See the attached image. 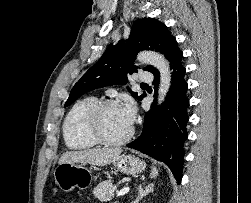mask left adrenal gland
I'll use <instances>...</instances> for the list:
<instances>
[{
  "instance_id": "a2214340",
  "label": "left adrenal gland",
  "mask_w": 251,
  "mask_h": 203,
  "mask_svg": "<svg viewBox=\"0 0 251 203\" xmlns=\"http://www.w3.org/2000/svg\"><path fill=\"white\" fill-rule=\"evenodd\" d=\"M153 184H149L148 186H146L145 188H142V186L140 185L138 187V196L136 197V199L132 202V203H138L140 200H142L146 195H148L151 192H154V188H153Z\"/></svg>"
}]
</instances>
